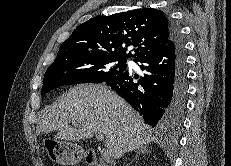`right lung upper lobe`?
<instances>
[{"mask_svg":"<svg viewBox=\"0 0 231 166\" xmlns=\"http://www.w3.org/2000/svg\"><path fill=\"white\" fill-rule=\"evenodd\" d=\"M170 26L167 16L152 8L95 17L73 31L56 58L96 53L139 59L160 51L170 42ZM130 46H134V54L126 53Z\"/></svg>","mask_w":231,"mask_h":166,"instance_id":"obj_1","label":"right lung upper lobe"}]
</instances>
